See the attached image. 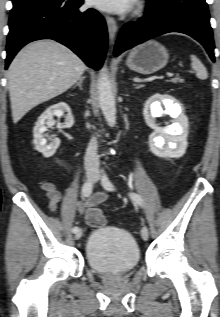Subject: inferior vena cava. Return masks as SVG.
I'll return each instance as SVG.
<instances>
[{
    "label": "inferior vena cava",
    "instance_id": "602c4592",
    "mask_svg": "<svg viewBox=\"0 0 220 317\" xmlns=\"http://www.w3.org/2000/svg\"><path fill=\"white\" fill-rule=\"evenodd\" d=\"M85 169L86 171L98 172L99 157L97 154V140L93 137L86 150L85 154Z\"/></svg>",
    "mask_w": 220,
    "mask_h": 317
}]
</instances>
